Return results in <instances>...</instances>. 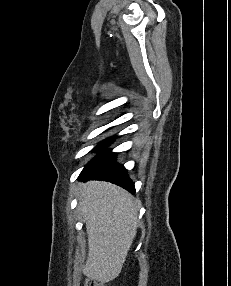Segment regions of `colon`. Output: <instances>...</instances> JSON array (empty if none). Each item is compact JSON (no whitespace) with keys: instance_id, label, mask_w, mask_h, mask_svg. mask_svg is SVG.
<instances>
[{"instance_id":"5ec220e1","label":"colon","mask_w":231,"mask_h":286,"mask_svg":"<svg viewBox=\"0 0 231 286\" xmlns=\"http://www.w3.org/2000/svg\"><path fill=\"white\" fill-rule=\"evenodd\" d=\"M84 286H106V285L92 279H87L84 283Z\"/></svg>"}]
</instances>
